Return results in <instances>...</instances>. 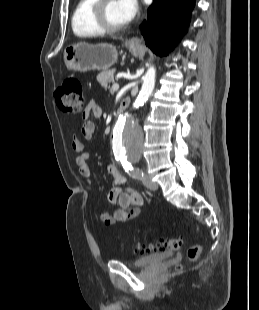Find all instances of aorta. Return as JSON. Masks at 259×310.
<instances>
[{
	"instance_id": "1",
	"label": "aorta",
	"mask_w": 259,
	"mask_h": 310,
	"mask_svg": "<svg viewBox=\"0 0 259 310\" xmlns=\"http://www.w3.org/2000/svg\"><path fill=\"white\" fill-rule=\"evenodd\" d=\"M155 69L149 67L143 77L142 88L133 104L118 118L113 132V151L116 156L128 160H138L143 149L144 134L141 127L135 122L133 114L143 106L151 95L155 86Z\"/></svg>"
}]
</instances>
